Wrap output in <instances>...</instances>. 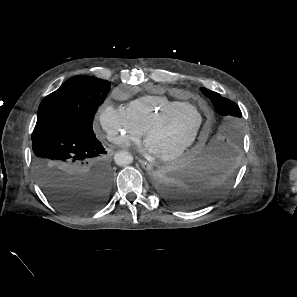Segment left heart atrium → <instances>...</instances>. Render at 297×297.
I'll list each match as a JSON object with an SVG mask.
<instances>
[{"label":"left heart atrium","instance_id":"left-heart-atrium-1","mask_svg":"<svg viewBox=\"0 0 297 297\" xmlns=\"http://www.w3.org/2000/svg\"><path fill=\"white\" fill-rule=\"evenodd\" d=\"M145 148H146V150H147L149 153H154L153 150H152V148L150 147V145H149L148 143H146Z\"/></svg>","mask_w":297,"mask_h":297}]
</instances>
